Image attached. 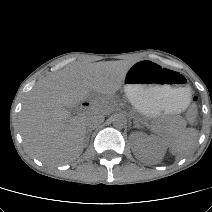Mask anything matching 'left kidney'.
Listing matches in <instances>:
<instances>
[{
	"label": "left kidney",
	"instance_id": "5707ae66",
	"mask_svg": "<svg viewBox=\"0 0 212 212\" xmlns=\"http://www.w3.org/2000/svg\"><path fill=\"white\" fill-rule=\"evenodd\" d=\"M135 136L138 137V143L134 150L137 158L142 160L161 159L164 156L166 145L161 138L155 135L148 136L141 132L135 133Z\"/></svg>",
	"mask_w": 212,
	"mask_h": 212
}]
</instances>
